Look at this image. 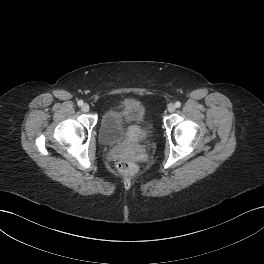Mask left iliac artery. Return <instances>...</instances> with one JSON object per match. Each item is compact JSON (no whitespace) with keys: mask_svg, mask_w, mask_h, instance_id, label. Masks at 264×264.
I'll list each match as a JSON object with an SVG mask.
<instances>
[{"mask_svg":"<svg viewBox=\"0 0 264 264\" xmlns=\"http://www.w3.org/2000/svg\"><path fill=\"white\" fill-rule=\"evenodd\" d=\"M175 106H176L177 108H179V107L181 106V103H180L179 101H177V102L175 103Z\"/></svg>","mask_w":264,"mask_h":264,"instance_id":"1","label":"left iliac artery"}]
</instances>
